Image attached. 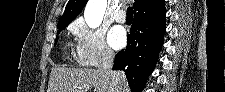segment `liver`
<instances>
[{
    "label": "liver",
    "mask_w": 225,
    "mask_h": 92,
    "mask_svg": "<svg viewBox=\"0 0 225 92\" xmlns=\"http://www.w3.org/2000/svg\"><path fill=\"white\" fill-rule=\"evenodd\" d=\"M116 73L119 92H128L125 74L122 71ZM82 85L93 87V92H111L109 76L99 69L65 67L51 70L47 92H86Z\"/></svg>",
    "instance_id": "liver-1"
}]
</instances>
